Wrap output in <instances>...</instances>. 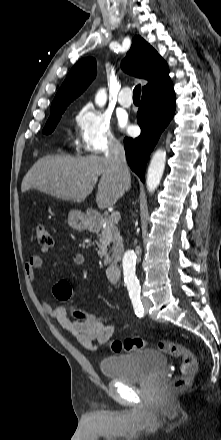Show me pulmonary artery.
Listing matches in <instances>:
<instances>
[{
  "label": "pulmonary artery",
  "instance_id": "1",
  "mask_svg": "<svg viewBox=\"0 0 221 440\" xmlns=\"http://www.w3.org/2000/svg\"><path fill=\"white\" fill-rule=\"evenodd\" d=\"M118 102L121 106L128 108L132 105V91L129 87H123L118 96Z\"/></svg>",
  "mask_w": 221,
  "mask_h": 440
}]
</instances>
